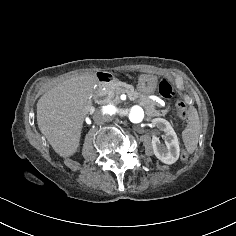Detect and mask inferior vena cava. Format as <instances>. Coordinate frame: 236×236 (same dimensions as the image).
Returning <instances> with one entry per match:
<instances>
[{
    "label": "inferior vena cava",
    "mask_w": 236,
    "mask_h": 236,
    "mask_svg": "<svg viewBox=\"0 0 236 236\" xmlns=\"http://www.w3.org/2000/svg\"><path fill=\"white\" fill-rule=\"evenodd\" d=\"M93 114H94V115H93V118H94L93 121H94L96 124H98V125L104 124L105 119H104V117L102 116V114L98 112V109H95V112H94Z\"/></svg>",
    "instance_id": "inferior-vena-cava-1"
}]
</instances>
